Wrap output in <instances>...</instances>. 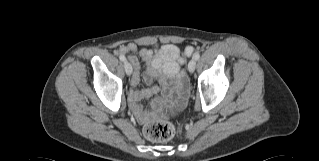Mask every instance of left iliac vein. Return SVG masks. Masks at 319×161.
<instances>
[{"label":"left iliac vein","mask_w":319,"mask_h":161,"mask_svg":"<svg viewBox=\"0 0 319 161\" xmlns=\"http://www.w3.org/2000/svg\"><path fill=\"white\" fill-rule=\"evenodd\" d=\"M195 68H196V60L193 58L188 64V70L189 72L192 73L195 71Z\"/></svg>","instance_id":"4c4485c4"}]
</instances>
